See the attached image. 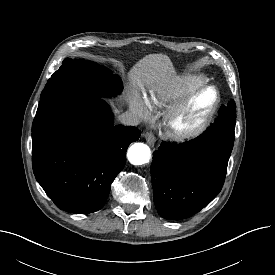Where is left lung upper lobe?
Segmentation results:
<instances>
[{
    "label": "left lung upper lobe",
    "instance_id": "obj_1",
    "mask_svg": "<svg viewBox=\"0 0 275 275\" xmlns=\"http://www.w3.org/2000/svg\"><path fill=\"white\" fill-rule=\"evenodd\" d=\"M226 116L222 119L223 123L230 124L231 126L235 127L236 123V105L234 101H230L226 107Z\"/></svg>",
    "mask_w": 275,
    "mask_h": 275
}]
</instances>
